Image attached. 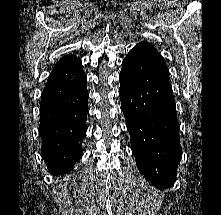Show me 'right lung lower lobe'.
<instances>
[{
  "label": "right lung lower lobe",
  "instance_id": "obj_1",
  "mask_svg": "<svg viewBox=\"0 0 221 215\" xmlns=\"http://www.w3.org/2000/svg\"><path fill=\"white\" fill-rule=\"evenodd\" d=\"M86 75L79 58L50 73L40 103L42 155L53 174L72 170L81 154L88 113Z\"/></svg>",
  "mask_w": 221,
  "mask_h": 215
}]
</instances>
